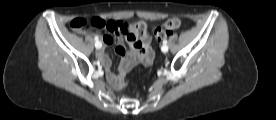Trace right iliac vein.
Segmentation results:
<instances>
[{"instance_id":"63e3f726","label":"right iliac vein","mask_w":276,"mask_h":120,"mask_svg":"<svg viewBox=\"0 0 276 120\" xmlns=\"http://www.w3.org/2000/svg\"><path fill=\"white\" fill-rule=\"evenodd\" d=\"M97 43H101V42L98 41ZM95 44H96V43H95ZM97 49H100V48H97Z\"/></svg>"}]
</instances>
